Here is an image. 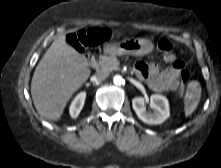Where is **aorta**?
<instances>
[{
	"instance_id": "obj_1",
	"label": "aorta",
	"mask_w": 221,
	"mask_h": 168,
	"mask_svg": "<svg viewBox=\"0 0 221 168\" xmlns=\"http://www.w3.org/2000/svg\"><path fill=\"white\" fill-rule=\"evenodd\" d=\"M113 82L115 85H121L123 83V78L120 75H116L113 78Z\"/></svg>"
}]
</instances>
